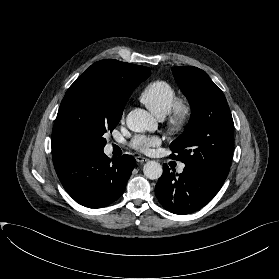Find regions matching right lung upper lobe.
Listing matches in <instances>:
<instances>
[{
  "instance_id": "cb5924a9",
  "label": "right lung upper lobe",
  "mask_w": 279,
  "mask_h": 279,
  "mask_svg": "<svg viewBox=\"0 0 279 279\" xmlns=\"http://www.w3.org/2000/svg\"><path fill=\"white\" fill-rule=\"evenodd\" d=\"M92 76L88 85L90 94L124 109V94L134 90L150 76V68L114 59L101 60L91 65L81 77ZM53 162L58 160L53 158Z\"/></svg>"
}]
</instances>
